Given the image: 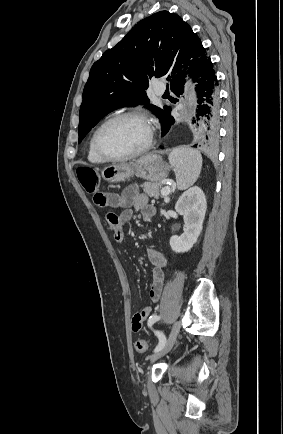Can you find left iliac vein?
<instances>
[{
    "label": "left iliac vein",
    "mask_w": 283,
    "mask_h": 434,
    "mask_svg": "<svg viewBox=\"0 0 283 434\" xmlns=\"http://www.w3.org/2000/svg\"><path fill=\"white\" fill-rule=\"evenodd\" d=\"M180 328H181V323L180 321H176L174 323V325L172 326L169 338L167 339L164 347L162 349H160L159 351L155 352L151 357H150V362H154L156 360H158L159 358H161L162 356H164L165 354H167L173 347L176 338L180 332Z\"/></svg>",
    "instance_id": "left-iliac-vein-1"
}]
</instances>
